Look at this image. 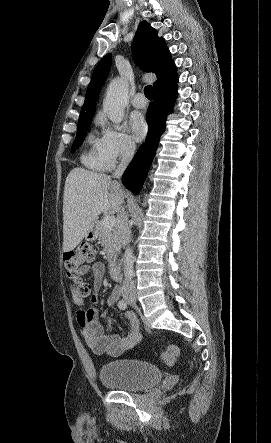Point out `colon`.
<instances>
[{"label": "colon", "instance_id": "obj_1", "mask_svg": "<svg viewBox=\"0 0 271 443\" xmlns=\"http://www.w3.org/2000/svg\"><path fill=\"white\" fill-rule=\"evenodd\" d=\"M95 257L92 246L88 243H82L75 249L63 254L64 265L68 277L76 283V292L81 297H88L92 292L90 284L82 282L80 268L90 264ZM179 355L178 346L171 344L161 354V359L166 365H173Z\"/></svg>", "mask_w": 271, "mask_h": 443}]
</instances>
